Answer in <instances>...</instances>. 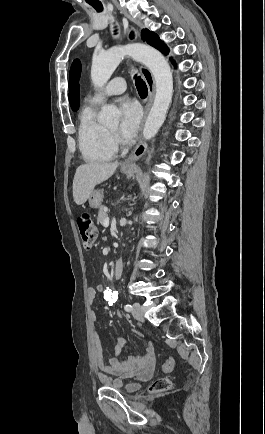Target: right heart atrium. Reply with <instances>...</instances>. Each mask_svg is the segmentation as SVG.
I'll use <instances>...</instances> for the list:
<instances>
[{"label": "right heart atrium", "mask_w": 265, "mask_h": 434, "mask_svg": "<svg viewBox=\"0 0 265 434\" xmlns=\"http://www.w3.org/2000/svg\"><path fill=\"white\" fill-rule=\"evenodd\" d=\"M110 142L113 144V149H120V144H118V143H122V138H118L117 136H113L110 139Z\"/></svg>", "instance_id": "1"}]
</instances>
